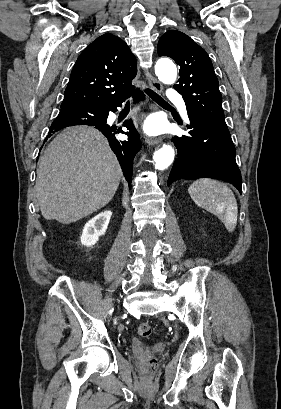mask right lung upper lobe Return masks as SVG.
<instances>
[{"instance_id":"1","label":"right lung upper lobe","mask_w":281,"mask_h":409,"mask_svg":"<svg viewBox=\"0 0 281 409\" xmlns=\"http://www.w3.org/2000/svg\"><path fill=\"white\" fill-rule=\"evenodd\" d=\"M136 59L127 44L113 34L93 41L78 57L61 107H94L124 101L137 89Z\"/></svg>"}]
</instances>
